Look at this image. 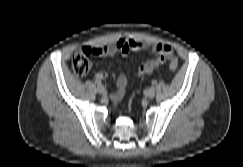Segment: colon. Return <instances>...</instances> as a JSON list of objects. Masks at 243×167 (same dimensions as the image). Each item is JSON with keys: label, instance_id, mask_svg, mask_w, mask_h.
Returning a JSON list of instances; mask_svg holds the SVG:
<instances>
[{"label": "colon", "instance_id": "5ec220e1", "mask_svg": "<svg viewBox=\"0 0 243 167\" xmlns=\"http://www.w3.org/2000/svg\"><path fill=\"white\" fill-rule=\"evenodd\" d=\"M93 55L92 48H79L72 53L71 64L76 75L84 76L91 69L90 56ZM171 71H176L178 68L177 59H172L169 64Z\"/></svg>", "mask_w": 243, "mask_h": 167}]
</instances>
